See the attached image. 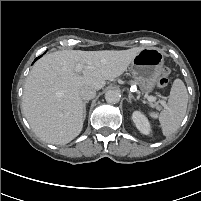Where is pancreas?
Instances as JSON below:
<instances>
[{
  "instance_id": "1",
  "label": "pancreas",
  "mask_w": 201,
  "mask_h": 201,
  "mask_svg": "<svg viewBox=\"0 0 201 201\" xmlns=\"http://www.w3.org/2000/svg\"><path fill=\"white\" fill-rule=\"evenodd\" d=\"M150 105L152 106V107H156L157 109H160V106L158 105V103H150Z\"/></svg>"
}]
</instances>
